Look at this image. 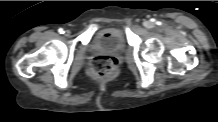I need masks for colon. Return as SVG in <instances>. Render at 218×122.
I'll return each mask as SVG.
<instances>
[{
	"label": "colon",
	"mask_w": 218,
	"mask_h": 122,
	"mask_svg": "<svg viewBox=\"0 0 218 122\" xmlns=\"http://www.w3.org/2000/svg\"><path fill=\"white\" fill-rule=\"evenodd\" d=\"M118 70V59L114 56L100 55L93 58L89 74L93 79L103 80L114 75Z\"/></svg>",
	"instance_id": "colon-1"
}]
</instances>
